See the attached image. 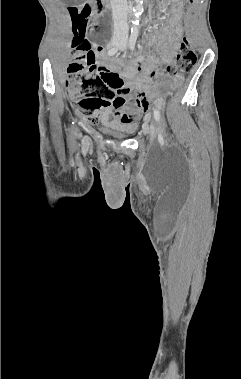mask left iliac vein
<instances>
[{
    "label": "left iliac vein",
    "mask_w": 241,
    "mask_h": 379,
    "mask_svg": "<svg viewBox=\"0 0 241 379\" xmlns=\"http://www.w3.org/2000/svg\"><path fill=\"white\" fill-rule=\"evenodd\" d=\"M126 47V41L122 44L121 49H124ZM146 133H148L153 139L157 137L158 129L156 127V124L152 122L150 126H146L145 128Z\"/></svg>",
    "instance_id": "4c4485c4"
}]
</instances>
